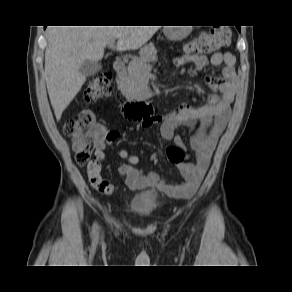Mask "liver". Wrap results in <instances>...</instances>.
<instances>
[{
    "label": "liver",
    "instance_id": "liver-1",
    "mask_svg": "<svg viewBox=\"0 0 292 292\" xmlns=\"http://www.w3.org/2000/svg\"><path fill=\"white\" fill-rule=\"evenodd\" d=\"M158 26H49L45 51V80L57 120L80 91L86 78L85 60L100 61L104 49L117 39L116 50H135L147 43Z\"/></svg>",
    "mask_w": 292,
    "mask_h": 292
}]
</instances>
